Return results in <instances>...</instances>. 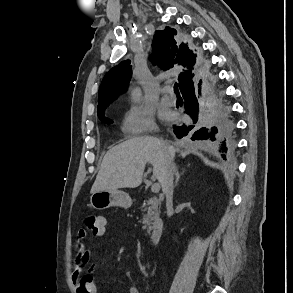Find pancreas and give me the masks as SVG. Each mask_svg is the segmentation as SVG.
Here are the masks:
<instances>
[{"mask_svg": "<svg viewBox=\"0 0 293 293\" xmlns=\"http://www.w3.org/2000/svg\"><path fill=\"white\" fill-rule=\"evenodd\" d=\"M148 205V208H145L144 211L147 213L144 215L143 218V229H147V233H150L152 226L151 223L159 216L158 210V201L156 199H149L143 206Z\"/></svg>", "mask_w": 293, "mask_h": 293, "instance_id": "cf45deb5", "label": "pancreas"}]
</instances>
